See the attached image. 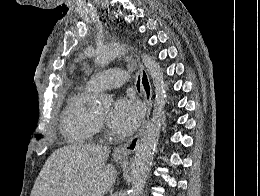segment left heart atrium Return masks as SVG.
Here are the masks:
<instances>
[{
    "label": "left heart atrium",
    "mask_w": 260,
    "mask_h": 196,
    "mask_svg": "<svg viewBox=\"0 0 260 196\" xmlns=\"http://www.w3.org/2000/svg\"><path fill=\"white\" fill-rule=\"evenodd\" d=\"M143 109L135 99L119 98L107 118L108 125L121 135H128L135 130L142 119Z\"/></svg>",
    "instance_id": "left-heart-atrium-1"
}]
</instances>
